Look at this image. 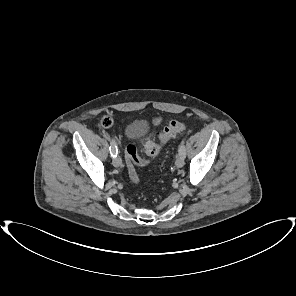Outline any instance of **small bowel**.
Segmentation results:
<instances>
[{
    "mask_svg": "<svg viewBox=\"0 0 296 296\" xmlns=\"http://www.w3.org/2000/svg\"><path fill=\"white\" fill-rule=\"evenodd\" d=\"M161 122H162V119H161L160 117H156V118H154V120H153V123H154L155 125H159Z\"/></svg>",
    "mask_w": 296,
    "mask_h": 296,
    "instance_id": "obj_1",
    "label": "small bowel"
}]
</instances>
